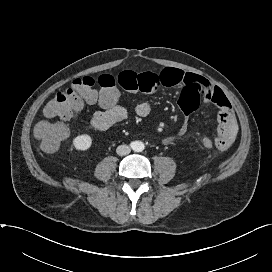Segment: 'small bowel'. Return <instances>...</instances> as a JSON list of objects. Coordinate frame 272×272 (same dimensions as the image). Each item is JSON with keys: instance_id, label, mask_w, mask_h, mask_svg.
I'll use <instances>...</instances> for the list:
<instances>
[{"instance_id": "c3829d8e", "label": "small bowel", "mask_w": 272, "mask_h": 272, "mask_svg": "<svg viewBox=\"0 0 272 272\" xmlns=\"http://www.w3.org/2000/svg\"><path fill=\"white\" fill-rule=\"evenodd\" d=\"M117 83L127 91L153 93L160 88L180 86L178 104L182 113V122L174 135L162 139L164 145H170L176 138L187 132L190 116L197 110L201 101L212 103L218 108V128L214 146L226 150L234 143L239 126L228 98L220 88L211 84L205 78L192 73H186L175 68H166L160 72L123 71L117 77ZM135 112L140 117H146L151 112L147 101H140L135 106ZM127 117V110L119 104L94 113L91 124L97 130H107Z\"/></svg>"}]
</instances>
